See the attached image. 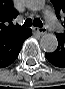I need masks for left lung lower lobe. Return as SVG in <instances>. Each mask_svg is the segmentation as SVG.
<instances>
[{
	"label": "left lung lower lobe",
	"mask_w": 65,
	"mask_h": 89,
	"mask_svg": "<svg viewBox=\"0 0 65 89\" xmlns=\"http://www.w3.org/2000/svg\"><path fill=\"white\" fill-rule=\"evenodd\" d=\"M56 37L58 40L57 50L52 53H46L45 57L51 64L65 68V34H56Z\"/></svg>",
	"instance_id": "1"
}]
</instances>
